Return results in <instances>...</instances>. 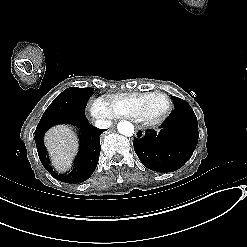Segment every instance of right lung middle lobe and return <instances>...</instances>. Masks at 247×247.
Returning <instances> with one entry per match:
<instances>
[{"label": "right lung middle lobe", "mask_w": 247, "mask_h": 247, "mask_svg": "<svg viewBox=\"0 0 247 247\" xmlns=\"http://www.w3.org/2000/svg\"><path fill=\"white\" fill-rule=\"evenodd\" d=\"M92 94L93 88H67L48 106L40 121L62 116L83 115Z\"/></svg>", "instance_id": "1"}]
</instances>
